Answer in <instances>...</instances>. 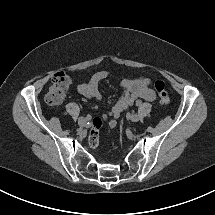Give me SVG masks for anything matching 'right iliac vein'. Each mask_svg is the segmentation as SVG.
I'll list each match as a JSON object with an SVG mask.
<instances>
[{
  "instance_id": "right-iliac-vein-1",
  "label": "right iliac vein",
  "mask_w": 215,
  "mask_h": 215,
  "mask_svg": "<svg viewBox=\"0 0 215 215\" xmlns=\"http://www.w3.org/2000/svg\"><path fill=\"white\" fill-rule=\"evenodd\" d=\"M78 124H79L80 126H85V125L87 124V119L84 118V117H80V118L78 119Z\"/></svg>"
}]
</instances>
